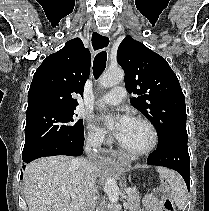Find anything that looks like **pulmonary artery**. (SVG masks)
I'll return each instance as SVG.
<instances>
[{"instance_id": "e3ab8cb5", "label": "pulmonary artery", "mask_w": 209, "mask_h": 211, "mask_svg": "<svg viewBox=\"0 0 209 211\" xmlns=\"http://www.w3.org/2000/svg\"><path fill=\"white\" fill-rule=\"evenodd\" d=\"M126 96V90L122 86L114 87L110 92L103 95L99 102L104 105H117L121 103Z\"/></svg>"}]
</instances>
